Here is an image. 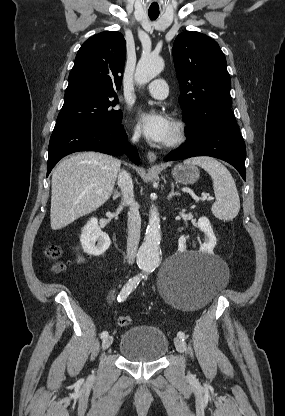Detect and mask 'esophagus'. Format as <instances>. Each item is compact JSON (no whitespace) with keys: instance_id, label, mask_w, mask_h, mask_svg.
<instances>
[{"instance_id":"esophagus-1","label":"esophagus","mask_w":285,"mask_h":416,"mask_svg":"<svg viewBox=\"0 0 285 416\" xmlns=\"http://www.w3.org/2000/svg\"><path fill=\"white\" fill-rule=\"evenodd\" d=\"M147 158L151 163H154L156 161V154L152 151H149L147 154Z\"/></svg>"}]
</instances>
